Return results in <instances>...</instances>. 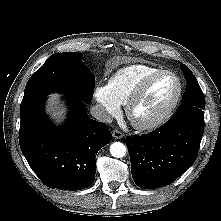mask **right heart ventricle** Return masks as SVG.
<instances>
[{"label": "right heart ventricle", "instance_id": "right-heart-ventricle-1", "mask_svg": "<svg viewBox=\"0 0 221 221\" xmlns=\"http://www.w3.org/2000/svg\"><path fill=\"white\" fill-rule=\"evenodd\" d=\"M161 70L147 64H132L117 70L108 80V88L119 105H125L138 84L148 75Z\"/></svg>", "mask_w": 221, "mask_h": 221}]
</instances>
